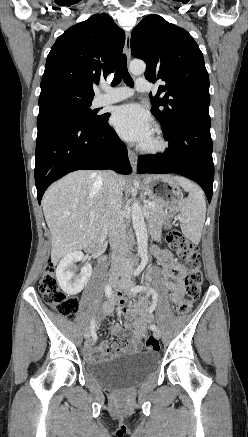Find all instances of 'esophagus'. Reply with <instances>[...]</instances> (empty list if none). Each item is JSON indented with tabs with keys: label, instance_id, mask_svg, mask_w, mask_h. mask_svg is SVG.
<instances>
[{
	"label": "esophagus",
	"instance_id": "obj_1",
	"mask_svg": "<svg viewBox=\"0 0 248 437\" xmlns=\"http://www.w3.org/2000/svg\"><path fill=\"white\" fill-rule=\"evenodd\" d=\"M130 41H131V34H130V32H127L126 38H125L124 51H125V54H126L128 60L130 59ZM128 157H129V161H130V164H131L133 171H136L137 155L134 151H132L129 148H128Z\"/></svg>",
	"mask_w": 248,
	"mask_h": 437
}]
</instances>
